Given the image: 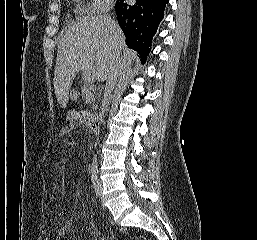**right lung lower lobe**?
Here are the masks:
<instances>
[{
  "instance_id": "obj_1",
  "label": "right lung lower lobe",
  "mask_w": 257,
  "mask_h": 240,
  "mask_svg": "<svg viewBox=\"0 0 257 240\" xmlns=\"http://www.w3.org/2000/svg\"><path fill=\"white\" fill-rule=\"evenodd\" d=\"M169 0H136L127 4L117 0L115 10L127 45L137 51L144 62L151 50V41L164 16Z\"/></svg>"
}]
</instances>
